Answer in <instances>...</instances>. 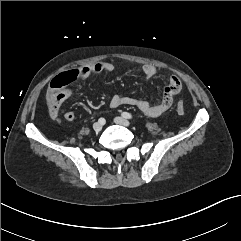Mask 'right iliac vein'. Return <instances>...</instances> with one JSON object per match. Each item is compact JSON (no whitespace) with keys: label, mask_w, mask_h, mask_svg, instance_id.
Masks as SVG:
<instances>
[{"label":"right iliac vein","mask_w":241,"mask_h":241,"mask_svg":"<svg viewBox=\"0 0 241 241\" xmlns=\"http://www.w3.org/2000/svg\"><path fill=\"white\" fill-rule=\"evenodd\" d=\"M102 126L103 125L100 122H96L93 124V129H94V131L99 132V131H101Z\"/></svg>","instance_id":"right-iliac-vein-1"}]
</instances>
